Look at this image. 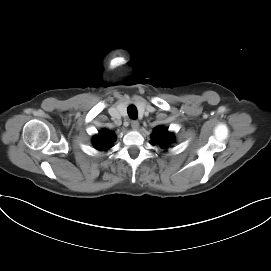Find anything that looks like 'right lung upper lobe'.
<instances>
[{"label":"right lung upper lobe","mask_w":271,"mask_h":271,"mask_svg":"<svg viewBox=\"0 0 271 271\" xmlns=\"http://www.w3.org/2000/svg\"><path fill=\"white\" fill-rule=\"evenodd\" d=\"M115 139L116 136L113 132L104 129L101 132H99L98 135L94 136L93 144L96 149L106 151L112 147Z\"/></svg>","instance_id":"right-lung-upper-lobe-1"}]
</instances>
